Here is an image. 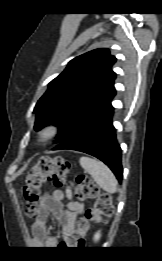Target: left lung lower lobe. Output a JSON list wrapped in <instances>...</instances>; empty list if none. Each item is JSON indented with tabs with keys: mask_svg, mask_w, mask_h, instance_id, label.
Instances as JSON below:
<instances>
[{
	"mask_svg": "<svg viewBox=\"0 0 162 261\" xmlns=\"http://www.w3.org/2000/svg\"><path fill=\"white\" fill-rule=\"evenodd\" d=\"M114 108L111 102L77 127L53 150L71 149L93 155L103 161L122 181L121 148L112 123Z\"/></svg>",
	"mask_w": 162,
	"mask_h": 261,
	"instance_id": "obj_1",
	"label": "left lung lower lobe"
}]
</instances>
